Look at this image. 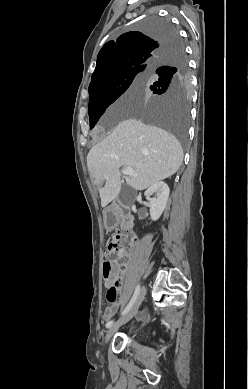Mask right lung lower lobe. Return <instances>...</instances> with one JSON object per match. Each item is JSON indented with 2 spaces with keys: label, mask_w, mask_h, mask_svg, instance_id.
<instances>
[{
  "label": "right lung lower lobe",
  "mask_w": 248,
  "mask_h": 389,
  "mask_svg": "<svg viewBox=\"0 0 248 389\" xmlns=\"http://www.w3.org/2000/svg\"><path fill=\"white\" fill-rule=\"evenodd\" d=\"M173 51H175L178 54H184L183 47H182L179 39H178V47H176ZM158 69H156V71H155L156 73H163L165 71V70L158 71Z\"/></svg>",
  "instance_id": "right-lung-lower-lobe-1"
}]
</instances>
